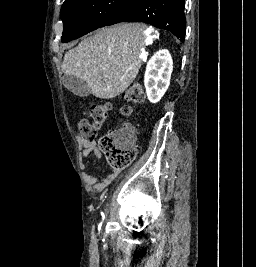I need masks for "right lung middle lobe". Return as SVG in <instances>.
<instances>
[{"label": "right lung middle lobe", "instance_id": "1", "mask_svg": "<svg viewBox=\"0 0 256 267\" xmlns=\"http://www.w3.org/2000/svg\"><path fill=\"white\" fill-rule=\"evenodd\" d=\"M138 0H65L61 8L62 42L77 39L127 14Z\"/></svg>", "mask_w": 256, "mask_h": 267}]
</instances>
